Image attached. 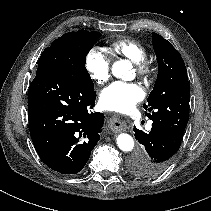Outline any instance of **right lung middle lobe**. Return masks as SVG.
<instances>
[{
    "instance_id": "1",
    "label": "right lung middle lobe",
    "mask_w": 211,
    "mask_h": 211,
    "mask_svg": "<svg viewBox=\"0 0 211 211\" xmlns=\"http://www.w3.org/2000/svg\"><path fill=\"white\" fill-rule=\"evenodd\" d=\"M100 36L101 34L95 31L79 30L78 32H68L54 40L40 57H53L59 67L68 71L83 84L94 88L85 63L86 55Z\"/></svg>"
}]
</instances>
